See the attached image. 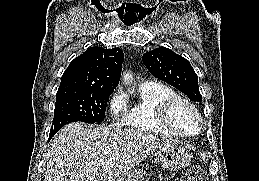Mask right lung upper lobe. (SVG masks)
<instances>
[{
    "instance_id": "right-lung-upper-lobe-1",
    "label": "right lung upper lobe",
    "mask_w": 259,
    "mask_h": 181,
    "mask_svg": "<svg viewBox=\"0 0 259 181\" xmlns=\"http://www.w3.org/2000/svg\"><path fill=\"white\" fill-rule=\"evenodd\" d=\"M123 52L118 48L90 47L71 61L59 89L113 92L122 70Z\"/></svg>"
}]
</instances>
